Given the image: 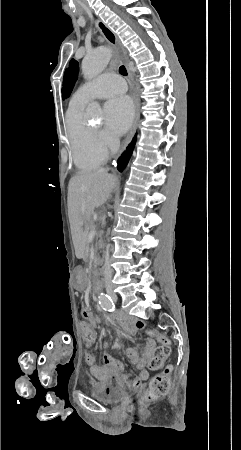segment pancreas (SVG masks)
<instances>
[{"label":"pancreas","mask_w":241,"mask_h":450,"mask_svg":"<svg viewBox=\"0 0 241 450\" xmlns=\"http://www.w3.org/2000/svg\"><path fill=\"white\" fill-rule=\"evenodd\" d=\"M84 232H85V234H86V238H85V240H89V238H88V236H89V234H88V230H84ZM90 232H92V230H90Z\"/></svg>","instance_id":"pancreas-1"}]
</instances>
